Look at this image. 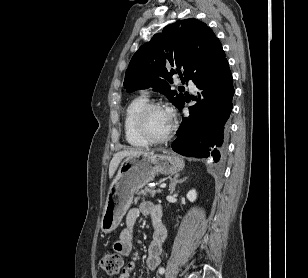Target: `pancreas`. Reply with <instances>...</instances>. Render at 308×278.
<instances>
[{
  "instance_id": "pancreas-1",
  "label": "pancreas",
  "mask_w": 308,
  "mask_h": 278,
  "mask_svg": "<svg viewBox=\"0 0 308 278\" xmlns=\"http://www.w3.org/2000/svg\"><path fill=\"white\" fill-rule=\"evenodd\" d=\"M161 190H155L151 187H146L144 190L140 191V195H147V194H151V195H155L156 193H160ZM135 202H137V199H135Z\"/></svg>"
}]
</instances>
